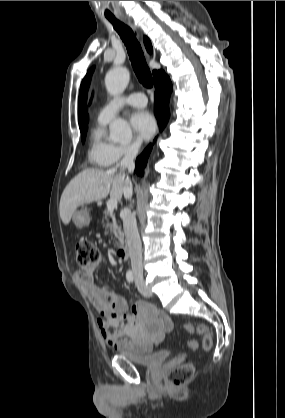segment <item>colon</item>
<instances>
[{"label":"colon","instance_id":"1","mask_svg":"<svg viewBox=\"0 0 285 418\" xmlns=\"http://www.w3.org/2000/svg\"><path fill=\"white\" fill-rule=\"evenodd\" d=\"M76 258L81 266H87L95 263L99 259V253L96 247L88 240L80 239L76 244ZM183 329L191 334L202 337V347L208 350L213 345V336L205 325L194 327L190 324H184ZM194 375V365L192 363L182 364L171 370L167 376V382L174 387L184 386L190 382Z\"/></svg>","mask_w":285,"mask_h":418}]
</instances>
